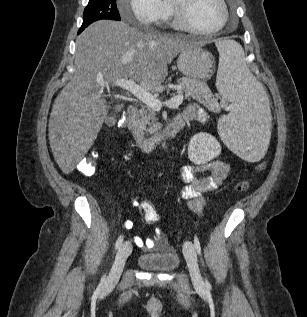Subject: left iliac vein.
<instances>
[{
  "instance_id": "4c4485c4",
  "label": "left iliac vein",
  "mask_w": 307,
  "mask_h": 317,
  "mask_svg": "<svg viewBox=\"0 0 307 317\" xmlns=\"http://www.w3.org/2000/svg\"><path fill=\"white\" fill-rule=\"evenodd\" d=\"M183 253L187 261L194 286L198 289L203 290L205 285L199 271L195 246L191 241H186L184 243Z\"/></svg>"
}]
</instances>
